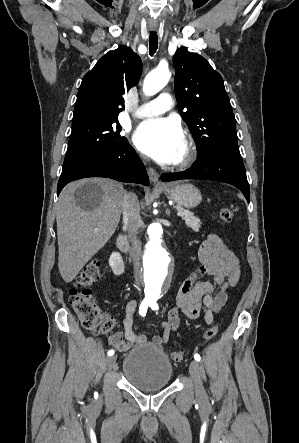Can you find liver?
<instances>
[{
  "label": "liver",
  "instance_id": "obj_1",
  "mask_svg": "<svg viewBox=\"0 0 299 443\" xmlns=\"http://www.w3.org/2000/svg\"><path fill=\"white\" fill-rule=\"evenodd\" d=\"M123 185L107 178L71 182L60 193L58 268L66 283L107 243L120 221Z\"/></svg>",
  "mask_w": 299,
  "mask_h": 443
}]
</instances>
